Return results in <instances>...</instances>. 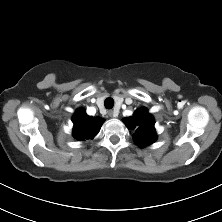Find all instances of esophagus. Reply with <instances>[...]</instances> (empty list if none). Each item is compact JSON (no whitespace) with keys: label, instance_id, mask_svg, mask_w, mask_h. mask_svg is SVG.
Segmentation results:
<instances>
[{"label":"esophagus","instance_id":"esophagus-1","mask_svg":"<svg viewBox=\"0 0 222 222\" xmlns=\"http://www.w3.org/2000/svg\"><path fill=\"white\" fill-rule=\"evenodd\" d=\"M108 115H109V117H111V118L117 117V114H116L114 111H112V110H109V111H108Z\"/></svg>","mask_w":222,"mask_h":222}]
</instances>
